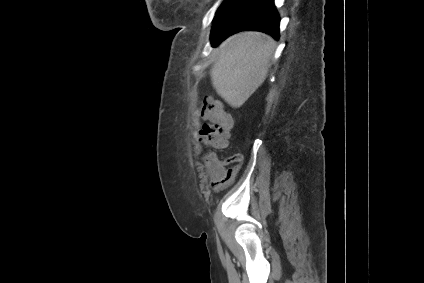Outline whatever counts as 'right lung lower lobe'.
I'll use <instances>...</instances> for the list:
<instances>
[{
  "mask_svg": "<svg viewBox=\"0 0 424 283\" xmlns=\"http://www.w3.org/2000/svg\"><path fill=\"white\" fill-rule=\"evenodd\" d=\"M279 22L274 0H227L214 19L212 45L217 46L228 36L246 30L261 31L278 40Z\"/></svg>",
  "mask_w": 424,
  "mask_h": 283,
  "instance_id": "obj_1",
  "label": "right lung lower lobe"
}]
</instances>
